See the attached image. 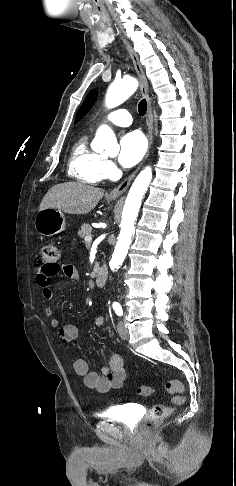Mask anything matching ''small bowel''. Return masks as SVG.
Listing matches in <instances>:
<instances>
[{"label":"small bowel","instance_id":"c3829d8e","mask_svg":"<svg viewBox=\"0 0 236 486\" xmlns=\"http://www.w3.org/2000/svg\"><path fill=\"white\" fill-rule=\"evenodd\" d=\"M63 273L66 277L79 281V274L72 265H57L52 270H46L42 265L36 271V283L42 290L43 297L46 300L53 298L52 278ZM45 315L49 317L51 326L55 329L56 335L62 342L73 341L79 334V327L74 324L61 325L59 321L54 318V311L52 307H46ZM105 318L97 316L94 319V325L100 327L104 324ZM74 371L77 375L83 377L84 385L87 388L94 389L100 393H106L111 389L120 388L126 377L124 362L122 357L114 353L108 363L103 367L102 374L89 371L88 364L83 359H77L73 363Z\"/></svg>","mask_w":236,"mask_h":486}]
</instances>
